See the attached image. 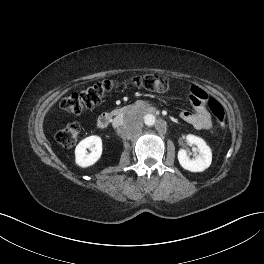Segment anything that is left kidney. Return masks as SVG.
I'll return each mask as SVG.
<instances>
[{
	"mask_svg": "<svg viewBox=\"0 0 264 264\" xmlns=\"http://www.w3.org/2000/svg\"><path fill=\"white\" fill-rule=\"evenodd\" d=\"M190 144L197 146L199 154L195 159H190L185 149L178 151V160L180 165L191 172H201L207 169L212 162V152L207 143L200 137L194 135H188L186 137Z\"/></svg>",
	"mask_w": 264,
	"mask_h": 264,
	"instance_id": "1",
	"label": "left kidney"
}]
</instances>
